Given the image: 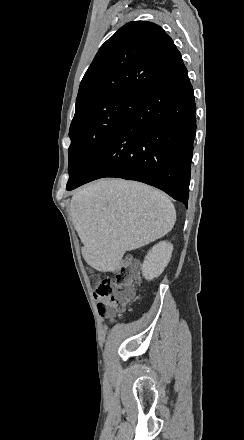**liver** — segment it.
<instances>
[{
    "label": "liver",
    "instance_id": "6515ba94",
    "mask_svg": "<svg viewBox=\"0 0 244 440\" xmlns=\"http://www.w3.org/2000/svg\"><path fill=\"white\" fill-rule=\"evenodd\" d=\"M70 212L82 256L98 272H114L125 252L163 238L176 222L175 208L164 192L120 178H102L79 188Z\"/></svg>",
    "mask_w": 244,
    "mask_h": 440
}]
</instances>
